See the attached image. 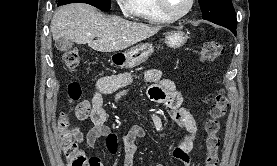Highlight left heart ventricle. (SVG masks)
<instances>
[{"mask_svg":"<svg viewBox=\"0 0 277 166\" xmlns=\"http://www.w3.org/2000/svg\"><path fill=\"white\" fill-rule=\"evenodd\" d=\"M168 9L174 13L178 14L182 12L188 4V0H165Z\"/></svg>","mask_w":277,"mask_h":166,"instance_id":"left-heart-ventricle-1","label":"left heart ventricle"}]
</instances>
